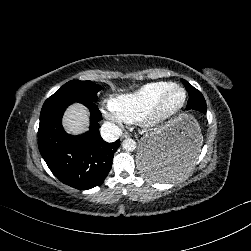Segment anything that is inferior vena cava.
<instances>
[{
  "instance_id": "obj_1",
  "label": "inferior vena cava",
  "mask_w": 251,
  "mask_h": 251,
  "mask_svg": "<svg viewBox=\"0 0 251 251\" xmlns=\"http://www.w3.org/2000/svg\"><path fill=\"white\" fill-rule=\"evenodd\" d=\"M100 135L104 141L112 143L122 135V130L112 122H105L101 126Z\"/></svg>"
}]
</instances>
